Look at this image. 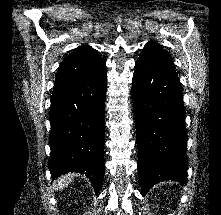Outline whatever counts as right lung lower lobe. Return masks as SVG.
Returning <instances> with one entry per match:
<instances>
[{
    "instance_id": "right-lung-lower-lobe-1",
    "label": "right lung lower lobe",
    "mask_w": 221,
    "mask_h": 215,
    "mask_svg": "<svg viewBox=\"0 0 221 215\" xmlns=\"http://www.w3.org/2000/svg\"><path fill=\"white\" fill-rule=\"evenodd\" d=\"M107 75H97L53 92L50 107L51 177L68 172L85 174L96 194L104 177V116Z\"/></svg>"
}]
</instances>
